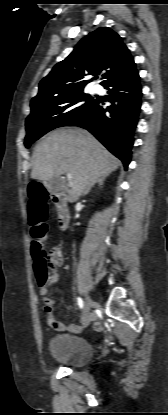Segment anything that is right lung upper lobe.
<instances>
[{
  "instance_id": "obj_1",
  "label": "right lung upper lobe",
  "mask_w": 168,
  "mask_h": 415,
  "mask_svg": "<svg viewBox=\"0 0 168 415\" xmlns=\"http://www.w3.org/2000/svg\"><path fill=\"white\" fill-rule=\"evenodd\" d=\"M133 64L134 60L121 37L110 28H97L41 80L39 92L31 100V108L82 91L91 82L88 76H96L102 70L106 71L101 82L104 85Z\"/></svg>"
}]
</instances>
